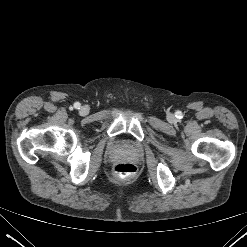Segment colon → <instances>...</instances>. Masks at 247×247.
<instances>
[{
	"mask_svg": "<svg viewBox=\"0 0 247 247\" xmlns=\"http://www.w3.org/2000/svg\"><path fill=\"white\" fill-rule=\"evenodd\" d=\"M136 170V166L128 162L117 164L114 168L115 173L122 179L132 177Z\"/></svg>",
	"mask_w": 247,
	"mask_h": 247,
	"instance_id": "1",
	"label": "colon"
}]
</instances>
